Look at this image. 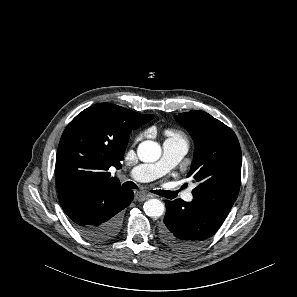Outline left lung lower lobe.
Wrapping results in <instances>:
<instances>
[{"instance_id":"0a47b994","label":"left lung lower lobe","mask_w":297,"mask_h":297,"mask_svg":"<svg viewBox=\"0 0 297 297\" xmlns=\"http://www.w3.org/2000/svg\"><path fill=\"white\" fill-rule=\"evenodd\" d=\"M166 214L160 235L178 251L193 250L220 228L234 201L225 199L166 200Z\"/></svg>"}]
</instances>
